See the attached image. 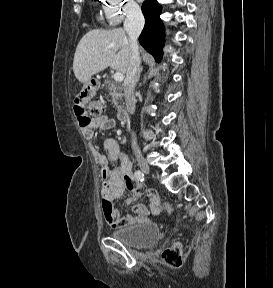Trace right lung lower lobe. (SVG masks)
Here are the masks:
<instances>
[{"label": "right lung lower lobe", "mask_w": 273, "mask_h": 288, "mask_svg": "<svg viewBox=\"0 0 273 288\" xmlns=\"http://www.w3.org/2000/svg\"><path fill=\"white\" fill-rule=\"evenodd\" d=\"M161 11L162 7L156 0H145L142 4L145 26L139 42L157 62L161 60L163 54L164 27L160 19Z\"/></svg>", "instance_id": "right-lung-lower-lobe-1"}]
</instances>
